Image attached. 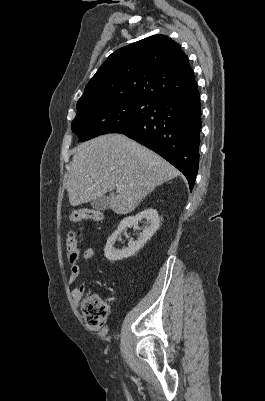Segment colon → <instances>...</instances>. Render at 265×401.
I'll use <instances>...</instances> for the list:
<instances>
[{
    "label": "colon",
    "mask_w": 265,
    "mask_h": 401,
    "mask_svg": "<svg viewBox=\"0 0 265 401\" xmlns=\"http://www.w3.org/2000/svg\"><path fill=\"white\" fill-rule=\"evenodd\" d=\"M70 219L72 222H80L83 220H91L98 222L102 219V213L96 210L79 208L74 210ZM66 246L68 253H75L77 250V240L75 234L70 232L67 236ZM81 310L85 321L92 326L102 325L109 315V305L97 294H92L83 299Z\"/></svg>",
    "instance_id": "obj_1"
}]
</instances>
